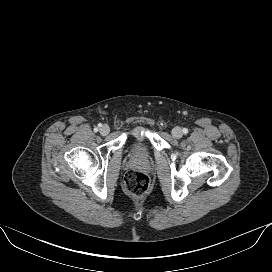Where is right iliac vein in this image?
Instances as JSON below:
<instances>
[{
  "label": "right iliac vein",
  "instance_id": "obj_1",
  "mask_svg": "<svg viewBox=\"0 0 272 272\" xmlns=\"http://www.w3.org/2000/svg\"><path fill=\"white\" fill-rule=\"evenodd\" d=\"M110 132V128L108 125H103L101 128H100V133L105 136L107 135L108 133Z\"/></svg>",
  "mask_w": 272,
  "mask_h": 272
}]
</instances>
